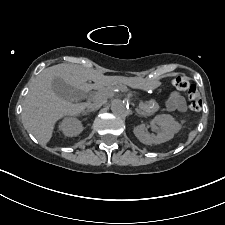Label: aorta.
Listing matches in <instances>:
<instances>
[{
  "mask_svg": "<svg viewBox=\"0 0 225 225\" xmlns=\"http://www.w3.org/2000/svg\"><path fill=\"white\" fill-rule=\"evenodd\" d=\"M111 110L115 115L120 117H125L129 113V108L127 104L121 99H114L111 102Z\"/></svg>",
  "mask_w": 225,
  "mask_h": 225,
  "instance_id": "1",
  "label": "aorta"
}]
</instances>
